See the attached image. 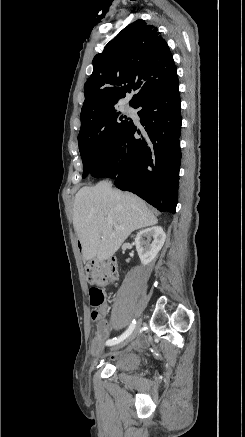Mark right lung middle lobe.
<instances>
[{"instance_id":"obj_1","label":"right lung middle lobe","mask_w":245,"mask_h":437,"mask_svg":"<svg viewBox=\"0 0 245 437\" xmlns=\"http://www.w3.org/2000/svg\"><path fill=\"white\" fill-rule=\"evenodd\" d=\"M131 122V119L111 107L81 125L78 144L83 161V178L93 173L110 156Z\"/></svg>"}]
</instances>
